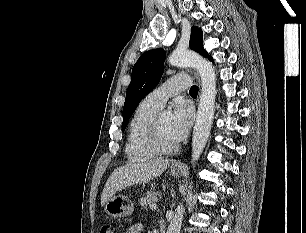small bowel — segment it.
<instances>
[{"instance_id": "1", "label": "small bowel", "mask_w": 306, "mask_h": 233, "mask_svg": "<svg viewBox=\"0 0 306 233\" xmlns=\"http://www.w3.org/2000/svg\"><path fill=\"white\" fill-rule=\"evenodd\" d=\"M141 228H142L141 224H134L127 229L126 233H140Z\"/></svg>"}]
</instances>
